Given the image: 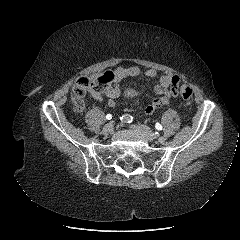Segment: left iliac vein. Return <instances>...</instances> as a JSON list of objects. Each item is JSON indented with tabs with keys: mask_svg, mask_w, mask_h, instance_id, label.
Masks as SVG:
<instances>
[{
	"mask_svg": "<svg viewBox=\"0 0 240 240\" xmlns=\"http://www.w3.org/2000/svg\"><path fill=\"white\" fill-rule=\"evenodd\" d=\"M145 139L148 141H153L157 138L156 134L147 126L137 124L133 126Z\"/></svg>",
	"mask_w": 240,
	"mask_h": 240,
	"instance_id": "4c4485c4",
	"label": "left iliac vein"
}]
</instances>
